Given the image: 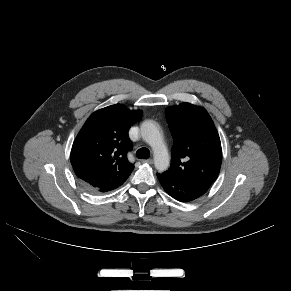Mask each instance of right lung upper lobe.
<instances>
[{
    "mask_svg": "<svg viewBox=\"0 0 291 291\" xmlns=\"http://www.w3.org/2000/svg\"><path fill=\"white\" fill-rule=\"evenodd\" d=\"M141 114L115 104L88 118L71 150V164L83 183L102 188L127 180L134 168L127 159L132 147L127 132Z\"/></svg>",
    "mask_w": 291,
    "mask_h": 291,
    "instance_id": "right-lung-upper-lobe-1",
    "label": "right lung upper lobe"
}]
</instances>
